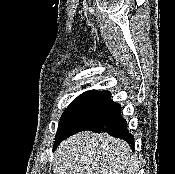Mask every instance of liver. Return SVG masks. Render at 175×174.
I'll return each mask as SVG.
<instances>
[{
    "label": "liver",
    "instance_id": "obj_1",
    "mask_svg": "<svg viewBox=\"0 0 175 174\" xmlns=\"http://www.w3.org/2000/svg\"><path fill=\"white\" fill-rule=\"evenodd\" d=\"M128 143L107 133L83 131L63 141L54 154V174H138Z\"/></svg>",
    "mask_w": 175,
    "mask_h": 174
}]
</instances>
